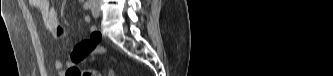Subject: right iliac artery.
<instances>
[{
	"mask_svg": "<svg viewBox=\"0 0 333 76\" xmlns=\"http://www.w3.org/2000/svg\"><path fill=\"white\" fill-rule=\"evenodd\" d=\"M93 2L91 0L86 1L84 4V9H90L92 7Z\"/></svg>",
	"mask_w": 333,
	"mask_h": 76,
	"instance_id": "obj_1",
	"label": "right iliac artery"
}]
</instances>
